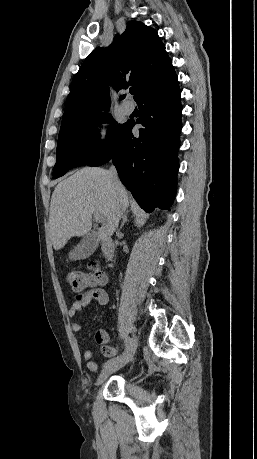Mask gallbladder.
<instances>
[{
  "label": "gallbladder",
  "mask_w": 257,
  "mask_h": 459,
  "mask_svg": "<svg viewBox=\"0 0 257 459\" xmlns=\"http://www.w3.org/2000/svg\"><path fill=\"white\" fill-rule=\"evenodd\" d=\"M98 246L96 234L90 232L69 252L71 260H82L94 253Z\"/></svg>",
  "instance_id": "gallbladder-1"
}]
</instances>
